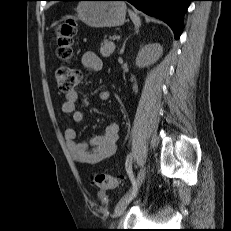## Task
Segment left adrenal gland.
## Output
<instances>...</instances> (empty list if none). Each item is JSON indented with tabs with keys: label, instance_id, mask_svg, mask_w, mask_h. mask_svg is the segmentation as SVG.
Segmentation results:
<instances>
[{
	"label": "left adrenal gland",
	"instance_id": "a2214340",
	"mask_svg": "<svg viewBox=\"0 0 231 231\" xmlns=\"http://www.w3.org/2000/svg\"><path fill=\"white\" fill-rule=\"evenodd\" d=\"M136 33H138V31ZM126 41H127V39L123 43L122 49L120 50V54H123V52H124Z\"/></svg>",
	"mask_w": 231,
	"mask_h": 231
}]
</instances>
